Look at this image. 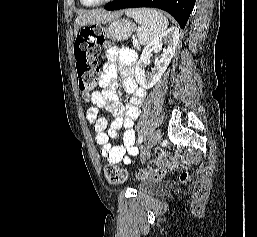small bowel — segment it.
Segmentation results:
<instances>
[{
	"instance_id": "c3829d8e",
	"label": "small bowel",
	"mask_w": 257,
	"mask_h": 237,
	"mask_svg": "<svg viewBox=\"0 0 257 237\" xmlns=\"http://www.w3.org/2000/svg\"><path fill=\"white\" fill-rule=\"evenodd\" d=\"M103 72L100 76L102 91H94L90 96L93 104L87 113V120L93 125L95 140L100 146V153L110 163L124 162L129 164L131 156L138 154L135 144V120L140 113V107L146 92L140 88L133 77V66L136 54L130 49L109 48L102 56ZM116 61L118 65H116ZM118 73L122 77L123 87L131 97L123 105L116 93L115 80ZM105 109L113 114L114 120L107 125L100 110ZM122 131L120 141L113 145L112 140Z\"/></svg>"
}]
</instances>
